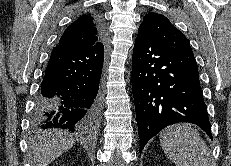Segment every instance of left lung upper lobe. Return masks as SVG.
<instances>
[{"label": "left lung upper lobe", "instance_id": "obj_1", "mask_svg": "<svg viewBox=\"0 0 231 166\" xmlns=\"http://www.w3.org/2000/svg\"><path fill=\"white\" fill-rule=\"evenodd\" d=\"M139 30L161 44L192 51L188 39L164 15L150 12L143 18Z\"/></svg>", "mask_w": 231, "mask_h": 166}]
</instances>
